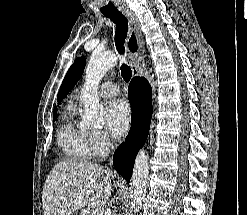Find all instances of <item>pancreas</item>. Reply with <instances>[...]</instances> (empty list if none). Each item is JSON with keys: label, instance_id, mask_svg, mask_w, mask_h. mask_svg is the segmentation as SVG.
<instances>
[{"label": "pancreas", "instance_id": "cf45deb5", "mask_svg": "<svg viewBox=\"0 0 247 215\" xmlns=\"http://www.w3.org/2000/svg\"><path fill=\"white\" fill-rule=\"evenodd\" d=\"M98 208L93 207L92 209L88 208L82 212V215H97Z\"/></svg>", "mask_w": 247, "mask_h": 215}]
</instances>
